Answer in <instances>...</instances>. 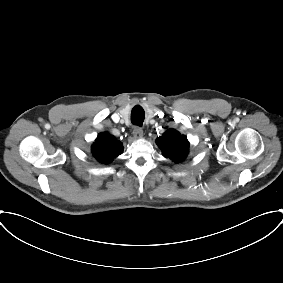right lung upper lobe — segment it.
Returning <instances> with one entry per match:
<instances>
[{
    "label": "right lung upper lobe",
    "mask_w": 283,
    "mask_h": 283,
    "mask_svg": "<svg viewBox=\"0 0 283 283\" xmlns=\"http://www.w3.org/2000/svg\"><path fill=\"white\" fill-rule=\"evenodd\" d=\"M122 143L109 133H100L92 146V153L101 163H109L122 152Z\"/></svg>",
    "instance_id": "1"
}]
</instances>
